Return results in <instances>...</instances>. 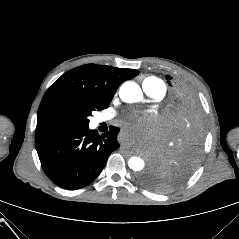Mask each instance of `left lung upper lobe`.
<instances>
[{
    "instance_id": "obj_1",
    "label": "left lung upper lobe",
    "mask_w": 239,
    "mask_h": 239,
    "mask_svg": "<svg viewBox=\"0 0 239 239\" xmlns=\"http://www.w3.org/2000/svg\"><path fill=\"white\" fill-rule=\"evenodd\" d=\"M166 80L171 87L169 135L149 171L141 177V182L156 192H169L190 176L204 142L203 110L197 94L186 82L170 75Z\"/></svg>"
}]
</instances>
